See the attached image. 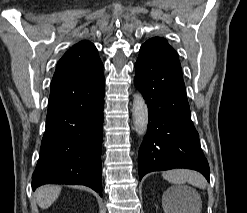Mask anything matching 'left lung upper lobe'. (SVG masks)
<instances>
[{
  "mask_svg": "<svg viewBox=\"0 0 247 213\" xmlns=\"http://www.w3.org/2000/svg\"><path fill=\"white\" fill-rule=\"evenodd\" d=\"M160 56H171L179 59L177 52L164 38L154 37L141 46L138 59H151Z\"/></svg>",
  "mask_w": 247,
  "mask_h": 213,
  "instance_id": "5c2ea615",
  "label": "left lung upper lobe"
}]
</instances>
